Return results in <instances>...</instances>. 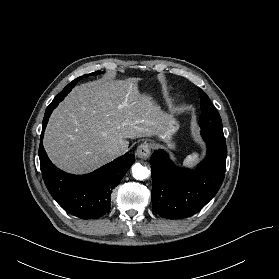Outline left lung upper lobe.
I'll return each mask as SVG.
<instances>
[{
	"mask_svg": "<svg viewBox=\"0 0 279 279\" xmlns=\"http://www.w3.org/2000/svg\"><path fill=\"white\" fill-rule=\"evenodd\" d=\"M199 93L201 96L200 104L202 109L199 121L201 130L225 140L220 115L211 103L209 97L201 89L199 90Z\"/></svg>",
	"mask_w": 279,
	"mask_h": 279,
	"instance_id": "obj_1",
	"label": "left lung upper lobe"
}]
</instances>
